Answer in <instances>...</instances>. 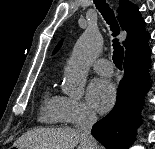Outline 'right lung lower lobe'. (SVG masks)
<instances>
[{"label": "right lung lower lobe", "instance_id": "98d812e1", "mask_svg": "<svg viewBox=\"0 0 155 149\" xmlns=\"http://www.w3.org/2000/svg\"><path fill=\"white\" fill-rule=\"evenodd\" d=\"M149 56L124 62V77L117 91L112 111L93 125L92 135L107 149H128L133 143L141 120L139 111L149 90Z\"/></svg>", "mask_w": 155, "mask_h": 149}]
</instances>
